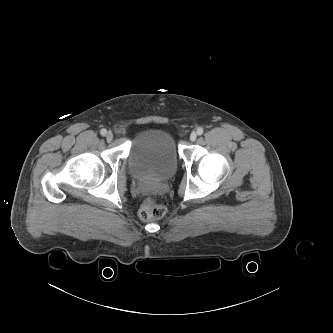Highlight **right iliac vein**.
Returning a JSON list of instances; mask_svg holds the SVG:
<instances>
[{
	"mask_svg": "<svg viewBox=\"0 0 333 333\" xmlns=\"http://www.w3.org/2000/svg\"><path fill=\"white\" fill-rule=\"evenodd\" d=\"M106 139H107L108 142H111L112 139H113V133L112 132H108L106 134Z\"/></svg>",
	"mask_w": 333,
	"mask_h": 333,
	"instance_id": "63e3f726",
	"label": "right iliac vein"
}]
</instances>
